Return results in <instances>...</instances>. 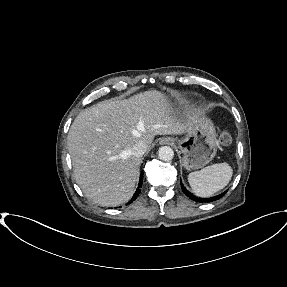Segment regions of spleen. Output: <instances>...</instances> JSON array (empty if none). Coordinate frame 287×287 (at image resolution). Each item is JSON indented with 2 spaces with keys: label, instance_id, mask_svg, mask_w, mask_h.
<instances>
[{
  "label": "spleen",
  "instance_id": "obj_1",
  "mask_svg": "<svg viewBox=\"0 0 287 287\" xmlns=\"http://www.w3.org/2000/svg\"><path fill=\"white\" fill-rule=\"evenodd\" d=\"M232 175L233 170L228 163H218L191 172L188 182L197 196L210 197L227 186Z\"/></svg>",
  "mask_w": 287,
  "mask_h": 287
}]
</instances>
